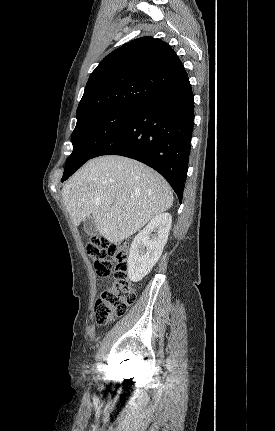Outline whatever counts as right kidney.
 <instances>
[{"label":"right kidney","mask_w":275,"mask_h":431,"mask_svg":"<svg viewBox=\"0 0 275 431\" xmlns=\"http://www.w3.org/2000/svg\"><path fill=\"white\" fill-rule=\"evenodd\" d=\"M172 217L161 213L154 217L134 238L127 261L128 277L142 280L159 260L171 229ZM156 232V234H151Z\"/></svg>","instance_id":"1"}]
</instances>
